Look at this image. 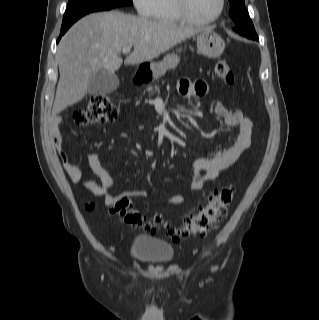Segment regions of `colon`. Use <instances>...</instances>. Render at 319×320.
Listing matches in <instances>:
<instances>
[{
  "instance_id": "colon-1",
  "label": "colon",
  "mask_w": 319,
  "mask_h": 320,
  "mask_svg": "<svg viewBox=\"0 0 319 320\" xmlns=\"http://www.w3.org/2000/svg\"><path fill=\"white\" fill-rule=\"evenodd\" d=\"M214 77L226 85L235 82L234 73L227 60H219L214 68ZM117 108L108 94L91 96L87 105L75 115L79 125H99L113 122L117 118ZM234 188L225 186L207 197L198 210L184 217L179 227L165 226V232L173 240L189 237H205L218 223L226 217L228 208L233 200ZM89 209L93 205H88ZM115 210L122 216L124 223L142 228L145 231H154L162 224L159 215L148 217L133 207L130 199L122 197L116 201Z\"/></svg>"
}]
</instances>
